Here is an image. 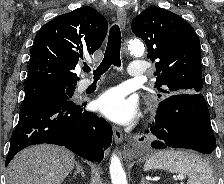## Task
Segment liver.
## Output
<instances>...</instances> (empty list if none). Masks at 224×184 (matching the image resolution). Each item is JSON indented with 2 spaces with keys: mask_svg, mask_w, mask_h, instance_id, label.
Returning a JSON list of instances; mask_svg holds the SVG:
<instances>
[{
  "mask_svg": "<svg viewBox=\"0 0 224 184\" xmlns=\"http://www.w3.org/2000/svg\"><path fill=\"white\" fill-rule=\"evenodd\" d=\"M75 164L74 154L55 145H36L10 162L6 184H62Z\"/></svg>",
  "mask_w": 224,
  "mask_h": 184,
  "instance_id": "1",
  "label": "liver"
}]
</instances>
